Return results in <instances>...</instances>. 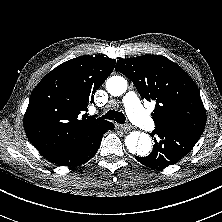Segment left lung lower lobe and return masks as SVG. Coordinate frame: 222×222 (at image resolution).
<instances>
[{
	"instance_id": "obj_1",
	"label": "left lung lower lobe",
	"mask_w": 222,
	"mask_h": 222,
	"mask_svg": "<svg viewBox=\"0 0 222 222\" xmlns=\"http://www.w3.org/2000/svg\"><path fill=\"white\" fill-rule=\"evenodd\" d=\"M150 135L155 142L153 151L146 157L135 158L143 165L154 168L177 163L192 150L201 136L190 130L173 127H156Z\"/></svg>"
}]
</instances>
